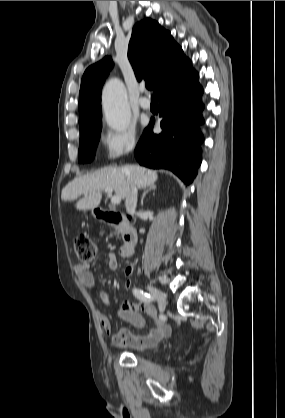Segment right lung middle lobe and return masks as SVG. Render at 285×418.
Listing matches in <instances>:
<instances>
[{"instance_id": "right-lung-middle-lobe-1", "label": "right lung middle lobe", "mask_w": 285, "mask_h": 418, "mask_svg": "<svg viewBox=\"0 0 285 418\" xmlns=\"http://www.w3.org/2000/svg\"><path fill=\"white\" fill-rule=\"evenodd\" d=\"M102 128L101 118L80 126V142L78 161L80 163L91 162L100 139Z\"/></svg>"}]
</instances>
